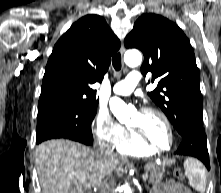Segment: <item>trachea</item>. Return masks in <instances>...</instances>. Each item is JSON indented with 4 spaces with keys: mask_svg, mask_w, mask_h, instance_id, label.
I'll list each match as a JSON object with an SVG mask.
<instances>
[{
    "mask_svg": "<svg viewBox=\"0 0 221 193\" xmlns=\"http://www.w3.org/2000/svg\"><path fill=\"white\" fill-rule=\"evenodd\" d=\"M112 64L116 71H119L121 69V55L120 53H117L112 58Z\"/></svg>",
    "mask_w": 221,
    "mask_h": 193,
    "instance_id": "obj_1",
    "label": "trachea"
}]
</instances>
